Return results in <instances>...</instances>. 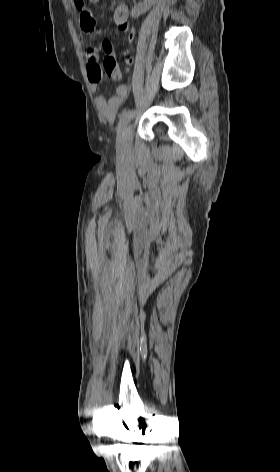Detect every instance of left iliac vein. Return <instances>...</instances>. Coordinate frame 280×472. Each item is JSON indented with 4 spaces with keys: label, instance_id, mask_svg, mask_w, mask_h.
<instances>
[{
    "label": "left iliac vein",
    "instance_id": "obj_1",
    "mask_svg": "<svg viewBox=\"0 0 280 472\" xmlns=\"http://www.w3.org/2000/svg\"><path fill=\"white\" fill-rule=\"evenodd\" d=\"M132 144H133V129H132V126L129 125L124 131V136L119 141V148L123 152L128 153L132 149Z\"/></svg>",
    "mask_w": 280,
    "mask_h": 472
}]
</instances>
